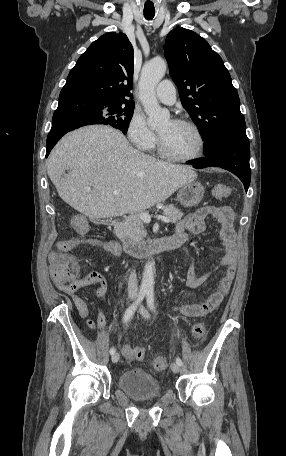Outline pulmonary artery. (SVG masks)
<instances>
[{"label":"pulmonary artery","mask_w":286,"mask_h":456,"mask_svg":"<svg viewBox=\"0 0 286 456\" xmlns=\"http://www.w3.org/2000/svg\"><path fill=\"white\" fill-rule=\"evenodd\" d=\"M155 95L160 102L172 105L176 101V88L170 80H164L157 86Z\"/></svg>","instance_id":"1"}]
</instances>
